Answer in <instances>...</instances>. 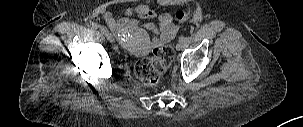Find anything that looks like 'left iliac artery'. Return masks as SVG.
<instances>
[{
  "instance_id": "1",
  "label": "left iliac artery",
  "mask_w": 303,
  "mask_h": 127,
  "mask_svg": "<svg viewBox=\"0 0 303 127\" xmlns=\"http://www.w3.org/2000/svg\"><path fill=\"white\" fill-rule=\"evenodd\" d=\"M185 40L188 44H190L192 42V38L190 36H186Z\"/></svg>"
}]
</instances>
